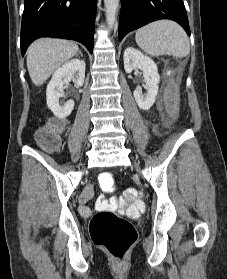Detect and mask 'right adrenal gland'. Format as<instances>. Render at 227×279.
Returning <instances> with one entry per match:
<instances>
[{
	"label": "right adrenal gland",
	"instance_id": "2a0ac1e0",
	"mask_svg": "<svg viewBox=\"0 0 227 279\" xmlns=\"http://www.w3.org/2000/svg\"><path fill=\"white\" fill-rule=\"evenodd\" d=\"M79 55H80L81 57H83V54H82V52H81V51H79Z\"/></svg>",
	"mask_w": 227,
	"mask_h": 279
}]
</instances>
